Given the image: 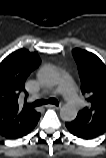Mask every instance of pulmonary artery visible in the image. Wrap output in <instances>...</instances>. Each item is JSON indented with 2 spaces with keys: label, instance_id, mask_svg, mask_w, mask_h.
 Returning <instances> with one entry per match:
<instances>
[{
  "label": "pulmonary artery",
  "instance_id": "pulmonary-artery-1",
  "mask_svg": "<svg viewBox=\"0 0 106 158\" xmlns=\"http://www.w3.org/2000/svg\"><path fill=\"white\" fill-rule=\"evenodd\" d=\"M57 91L64 93L69 97H72L76 93V87L71 79L65 78L63 81V85L59 87Z\"/></svg>",
  "mask_w": 106,
  "mask_h": 158
}]
</instances>
